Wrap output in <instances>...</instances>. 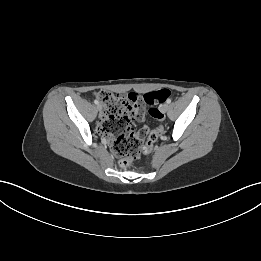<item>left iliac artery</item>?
Listing matches in <instances>:
<instances>
[{"mask_svg":"<svg viewBox=\"0 0 261 261\" xmlns=\"http://www.w3.org/2000/svg\"><path fill=\"white\" fill-rule=\"evenodd\" d=\"M166 102L169 104L171 103V99H167Z\"/></svg>","mask_w":261,"mask_h":261,"instance_id":"left-iliac-artery-1","label":"left iliac artery"}]
</instances>
